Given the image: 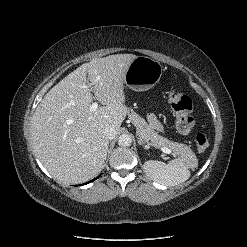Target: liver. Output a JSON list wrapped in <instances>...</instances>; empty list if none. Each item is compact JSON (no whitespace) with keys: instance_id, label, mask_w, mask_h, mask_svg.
<instances>
[{"instance_id":"liver-1","label":"liver","mask_w":247,"mask_h":247,"mask_svg":"<svg viewBox=\"0 0 247 247\" xmlns=\"http://www.w3.org/2000/svg\"><path fill=\"white\" fill-rule=\"evenodd\" d=\"M136 57L95 58L63 78L37 106L31 123L34 152L58 181L83 183L101 171L109 145L103 130L110 125L118 132L128 114L124 81ZM87 76L94 94L84 88ZM94 99L103 106L91 112Z\"/></svg>"}]
</instances>
